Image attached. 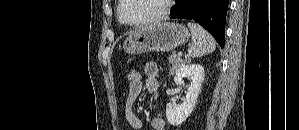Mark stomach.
<instances>
[{
    "mask_svg": "<svg viewBox=\"0 0 299 130\" xmlns=\"http://www.w3.org/2000/svg\"><path fill=\"white\" fill-rule=\"evenodd\" d=\"M189 37L188 29L180 23H156L131 33L123 43V50L128 54L168 52L185 44Z\"/></svg>",
    "mask_w": 299,
    "mask_h": 130,
    "instance_id": "obj_1",
    "label": "stomach"
}]
</instances>
